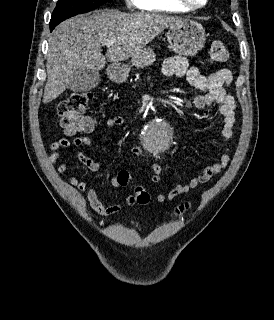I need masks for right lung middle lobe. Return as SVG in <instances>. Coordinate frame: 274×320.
<instances>
[{"mask_svg":"<svg viewBox=\"0 0 274 320\" xmlns=\"http://www.w3.org/2000/svg\"><path fill=\"white\" fill-rule=\"evenodd\" d=\"M110 1L112 0H58L50 25L56 26L65 19L92 11Z\"/></svg>","mask_w":274,"mask_h":320,"instance_id":"obj_1","label":"right lung middle lobe"}]
</instances>
